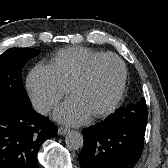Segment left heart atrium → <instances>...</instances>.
I'll list each match as a JSON object with an SVG mask.
<instances>
[{
    "label": "left heart atrium",
    "mask_w": 168,
    "mask_h": 168,
    "mask_svg": "<svg viewBox=\"0 0 168 168\" xmlns=\"http://www.w3.org/2000/svg\"><path fill=\"white\" fill-rule=\"evenodd\" d=\"M91 112L85 103L77 96H71L55 111L54 118L64 124L79 125L85 122Z\"/></svg>",
    "instance_id": "1"
}]
</instances>
